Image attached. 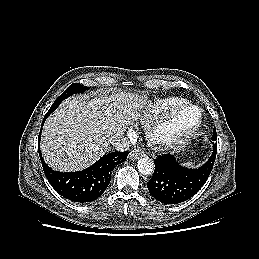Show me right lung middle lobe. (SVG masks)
<instances>
[{
	"instance_id": "1",
	"label": "right lung middle lobe",
	"mask_w": 259,
	"mask_h": 259,
	"mask_svg": "<svg viewBox=\"0 0 259 259\" xmlns=\"http://www.w3.org/2000/svg\"><path fill=\"white\" fill-rule=\"evenodd\" d=\"M90 89V87L81 85L79 83H73L71 84L53 103L51 108L47 113L51 114L58 106L59 104L69 96H72L73 94L76 93H83L85 90Z\"/></svg>"
}]
</instances>
